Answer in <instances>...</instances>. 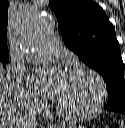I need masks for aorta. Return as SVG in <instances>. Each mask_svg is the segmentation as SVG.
Returning a JSON list of instances; mask_svg holds the SVG:
<instances>
[{"label":"aorta","instance_id":"obj_1","mask_svg":"<svg viewBox=\"0 0 125 128\" xmlns=\"http://www.w3.org/2000/svg\"><path fill=\"white\" fill-rule=\"evenodd\" d=\"M55 22L51 15L29 16L23 20L19 42L23 50L40 44L51 33Z\"/></svg>","mask_w":125,"mask_h":128}]
</instances>
